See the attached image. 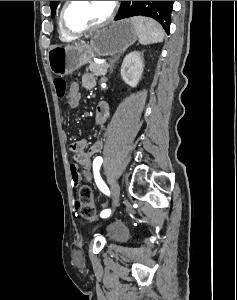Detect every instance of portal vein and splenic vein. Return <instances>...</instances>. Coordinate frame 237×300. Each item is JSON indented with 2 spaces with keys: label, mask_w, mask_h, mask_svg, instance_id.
Listing matches in <instances>:
<instances>
[{
  "label": "portal vein and splenic vein",
  "mask_w": 237,
  "mask_h": 300,
  "mask_svg": "<svg viewBox=\"0 0 237 300\" xmlns=\"http://www.w3.org/2000/svg\"><path fill=\"white\" fill-rule=\"evenodd\" d=\"M105 64H106V65H105ZM105 64H104V65H102V68H104V69H105V68H106V69H107V68H109V65H108L109 63H108V62H106Z\"/></svg>",
  "instance_id": "1"
}]
</instances>
